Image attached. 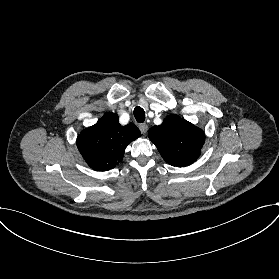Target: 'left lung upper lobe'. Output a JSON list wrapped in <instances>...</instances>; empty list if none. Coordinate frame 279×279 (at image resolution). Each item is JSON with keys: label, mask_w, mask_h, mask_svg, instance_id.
I'll list each match as a JSON object with an SVG mask.
<instances>
[{"label": "left lung upper lobe", "mask_w": 279, "mask_h": 279, "mask_svg": "<svg viewBox=\"0 0 279 279\" xmlns=\"http://www.w3.org/2000/svg\"><path fill=\"white\" fill-rule=\"evenodd\" d=\"M148 137L164 160L172 166L192 164L200 155L204 132L178 115H169L159 126L149 129Z\"/></svg>", "instance_id": "left-lung-upper-lobe-1"}]
</instances>
